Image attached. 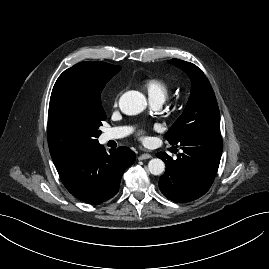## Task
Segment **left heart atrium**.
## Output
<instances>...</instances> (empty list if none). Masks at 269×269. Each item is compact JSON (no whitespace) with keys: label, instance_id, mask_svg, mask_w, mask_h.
<instances>
[{"label":"left heart atrium","instance_id":"1","mask_svg":"<svg viewBox=\"0 0 269 269\" xmlns=\"http://www.w3.org/2000/svg\"><path fill=\"white\" fill-rule=\"evenodd\" d=\"M139 135H140L141 137H143V136H144V132L141 131V132L139 133Z\"/></svg>","mask_w":269,"mask_h":269}]
</instances>
